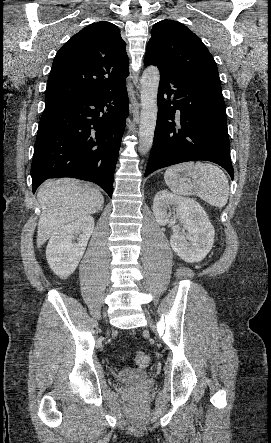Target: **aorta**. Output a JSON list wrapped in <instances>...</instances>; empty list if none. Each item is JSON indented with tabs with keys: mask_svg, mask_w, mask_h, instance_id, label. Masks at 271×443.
Returning a JSON list of instances; mask_svg holds the SVG:
<instances>
[{
	"mask_svg": "<svg viewBox=\"0 0 271 443\" xmlns=\"http://www.w3.org/2000/svg\"><path fill=\"white\" fill-rule=\"evenodd\" d=\"M160 82V72L155 66H149L142 74L141 112L139 126L138 150L142 156L152 148L156 120L158 114L157 94Z\"/></svg>",
	"mask_w": 271,
	"mask_h": 443,
	"instance_id": "obj_1",
	"label": "aorta"
}]
</instances>
